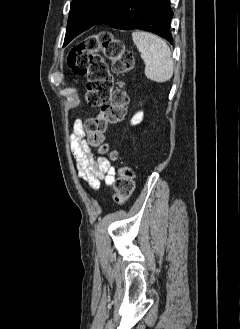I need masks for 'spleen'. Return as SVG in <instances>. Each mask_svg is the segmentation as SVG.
Masks as SVG:
<instances>
[{
  "label": "spleen",
  "instance_id": "spleen-1",
  "mask_svg": "<svg viewBox=\"0 0 240 329\" xmlns=\"http://www.w3.org/2000/svg\"><path fill=\"white\" fill-rule=\"evenodd\" d=\"M132 39L145 63L146 77L157 83L170 80L174 72V61L166 42L144 31L133 32Z\"/></svg>",
  "mask_w": 240,
  "mask_h": 329
}]
</instances>
